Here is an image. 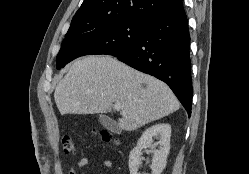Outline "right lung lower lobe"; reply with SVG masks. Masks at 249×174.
Listing matches in <instances>:
<instances>
[{"label": "right lung lower lobe", "instance_id": "98d812e1", "mask_svg": "<svg viewBox=\"0 0 249 174\" xmlns=\"http://www.w3.org/2000/svg\"><path fill=\"white\" fill-rule=\"evenodd\" d=\"M190 35L184 10L146 20L141 37L120 53L129 66L164 81L191 115Z\"/></svg>", "mask_w": 249, "mask_h": 174}]
</instances>
